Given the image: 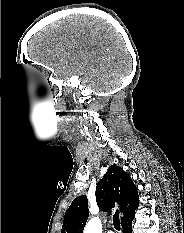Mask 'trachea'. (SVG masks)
I'll return each mask as SVG.
<instances>
[{
  "label": "trachea",
  "mask_w": 184,
  "mask_h": 233,
  "mask_svg": "<svg viewBox=\"0 0 184 233\" xmlns=\"http://www.w3.org/2000/svg\"><path fill=\"white\" fill-rule=\"evenodd\" d=\"M113 225L116 230L120 231V219L118 210H116L115 214L113 215Z\"/></svg>",
  "instance_id": "trachea-1"
}]
</instances>
